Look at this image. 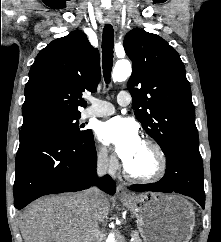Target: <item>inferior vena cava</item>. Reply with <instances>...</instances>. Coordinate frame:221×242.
<instances>
[{
  "instance_id": "obj_1",
  "label": "inferior vena cava",
  "mask_w": 221,
  "mask_h": 242,
  "mask_svg": "<svg viewBox=\"0 0 221 242\" xmlns=\"http://www.w3.org/2000/svg\"><path fill=\"white\" fill-rule=\"evenodd\" d=\"M104 157H106V154ZM106 170L107 161L106 159H104L99 162L97 167V173L99 176H102L106 173ZM101 195L102 194L97 187H92L83 193L82 204L84 206L86 214L91 219L86 242H94L99 233L98 217L96 211L99 206V200Z\"/></svg>"
}]
</instances>
